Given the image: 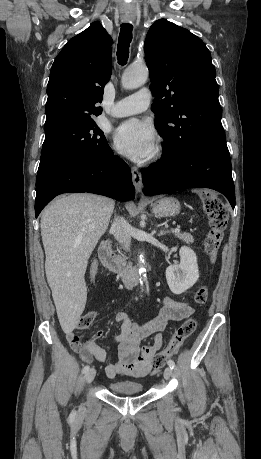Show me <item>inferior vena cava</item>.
Listing matches in <instances>:
<instances>
[{"instance_id":"inferior-vena-cava-1","label":"inferior vena cava","mask_w":261,"mask_h":459,"mask_svg":"<svg viewBox=\"0 0 261 459\" xmlns=\"http://www.w3.org/2000/svg\"><path fill=\"white\" fill-rule=\"evenodd\" d=\"M129 224L123 217L115 218L112 224L111 231L114 233L116 240L121 243L126 249H129L131 244V236L129 233Z\"/></svg>"}]
</instances>
